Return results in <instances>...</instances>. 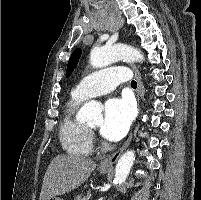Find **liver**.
Here are the masks:
<instances>
[{
    "label": "liver",
    "mask_w": 201,
    "mask_h": 200,
    "mask_svg": "<svg viewBox=\"0 0 201 200\" xmlns=\"http://www.w3.org/2000/svg\"><path fill=\"white\" fill-rule=\"evenodd\" d=\"M96 163L78 156L58 155L48 166L39 200L63 195L84 183L95 170Z\"/></svg>",
    "instance_id": "6515ba94"
}]
</instances>
